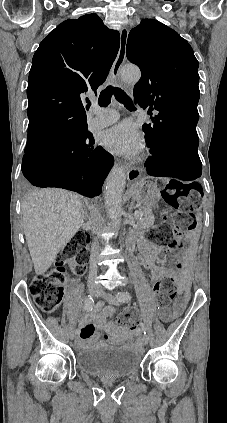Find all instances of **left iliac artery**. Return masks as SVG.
<instances>
[{"mask_svg": "<svg viewBox=\"0 0 227 423\" xmlns=\"http://www.w3.org/2000/svg\"><path fill=\"white\" fill-rule=\"evenodd\" d=\"M118 300L120 302H128V301L131 300V296L127 292L126 293L124 292L123 294H120V295L118 293ZM140 327H141L142 332L146 335L147 329H146V326L143 322H140Z\"/></svg>", "mask_w": 227, "mask_h": 423, "instance_id": "left-iliac-artery-1", "label": "left iliac artery"}]
</instances>
